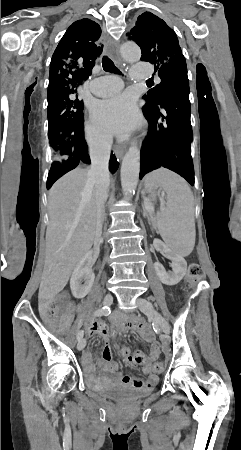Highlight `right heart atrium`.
<instances>
[{
	"instance_id": "right-heart-atrium-1",
	"label": "right heart atrium",
	"mask_w": 241,
	"mask_h": 450,
	"mask_svg": "<svg viewBox=\"0 0 241 450\" xmlns=\"http://www.w3.org/2000/svg\"><path fill=\"white\" fill-rule=\"evenodd\" d=\"M84 131L93 155H110L111 138L107 133L97 128L91 122L85 123Z\"/></svg>"
}]
</instances>
